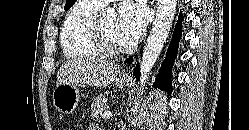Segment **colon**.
I'll list each match as a JSON object with an SVG mask.
<instances>
[{
  "instance_id": "1",
  "label": "colon",
  "mask_w": 249,
  "mask_h": 130,
  "mask_svg": "<svg viewBox=\"0 0 249 130\" xmlns=\"http://www.w3.org/2000/svg\"><path fill=\"white\" fill-rule=\"evenodd\" d=\"M62 130H74L71 126H65Z\"/></svg>"
}]
</instances>
